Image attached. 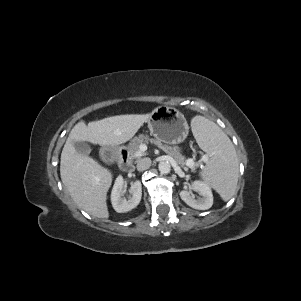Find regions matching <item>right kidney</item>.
Listing matches in <instances>:
<instances>
[{
    "label": "right kidney",
    "mask_w": 301,
    "mask_h": 301,
    "mask_svg": "<svg viewBox=\"0 0 301 301\" xmlns=\"http://www.w3.org/2000/svg\"><path fill=\"white\" fill-rule=\"evenodd\" d=\"M123 177L118 176L115 180L112 193H111V203L114 210L118 213H126L136 208L141 201L142 197V185L140 181H135L131 188L130 193L132 194L129 199L122 197L123 195Z\"/></svg>",
    "instance_id": "obj_1"
}]
</instances>
